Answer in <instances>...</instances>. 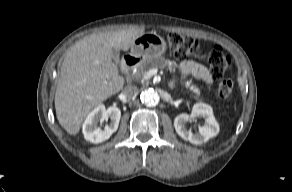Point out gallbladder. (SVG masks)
<instances>
[{
  "label": "gallbladder",
  "mask_w": 292,
  "mask_h": 192,
  "mask_svg": "<svg viewBox=\"0 0 292 192\" xmlns=\"http://www.w3.org/2000/svg\"><path fill=\"white\" fill-rule=\"evenodd\" d=\"M112 59L114 60V62L119 63L120 62V58H119V50L117 49H112Z\"/></svg>",
  "instance_id": "bac80fb5"
}]
</instances>
